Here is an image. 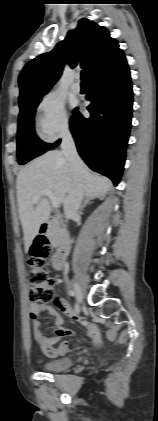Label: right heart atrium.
Wrapping results in <instances>:
<instances>
[{"mask_svg": "<svg viewBox=\"0 0 158 421\" xmlns=\"http://www.w3.org/2000/svg\"><path fill=\"white\" fill-rule=\"evenodd\" d=\"M36 123L40 136L54 141L69 131L70 120L64 102L56 95H44L36 107Z\"/></svg>", "mask_w": 158, "mask_h": 421, "instance_id": "right-heart-atrium-1", "label": "right heart atrium"}]
</instances>
